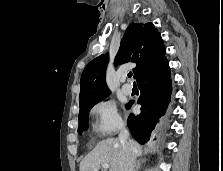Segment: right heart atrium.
Instances as JSON below:
<instances>
[{
	"label": "right heart atrium",
	"mask_w": 223,
	"mask_h": 171,
	"mask_svg": "<svg viewBox=\"0 0 223 171\" xmlns=\"http://www.w3.org/2000/svg\"><path fill=\"white\" fill-rule=\"evenodd\" d=\"M93 131L102 137L110 136L123 128L124 122L116 105L109 100H102L91 110Z\"/></svg>",
	"instance_id": "obj_1"
}]
</instances>
